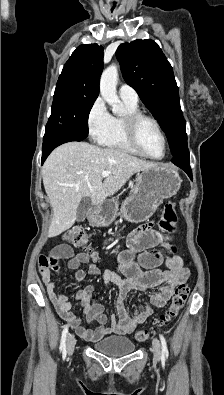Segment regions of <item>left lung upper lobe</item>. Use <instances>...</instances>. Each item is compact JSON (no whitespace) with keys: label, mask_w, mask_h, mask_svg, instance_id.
Wrapping results in <instances>:
<instances>
[{"label":"left lung upper lobe","mask_w":224,"mask_h":395,"mask_svg":"<svg viewBox=\"0 0 224 395\" xmlns=\"http://www.w3.org/2000/svg\"><path fill=\"white\" fill-rule=\"evenodd\" d=\"M116 57L124 80L160 122L171 153L187 146L186 122L180 107L173 69L156 42L151 39L121 44Z\"/></svg>","instance_id":"left-lung-upper-lobe-1"}]
</instances>
